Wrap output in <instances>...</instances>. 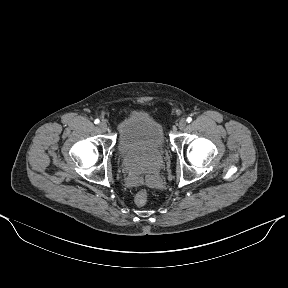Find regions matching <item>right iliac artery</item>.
Returning <instances> with one entry per match:
<instances>
[{"label":"right iliac artery","mask_w":288,"mask_h":288,"mask_svg":"<svg viewBox=\"0 0 288 288\" xmlns=\"http://www.w3.org/2000/svg\"><path fill=\"white\" fill-rule=\"evenodd\" d=\"M94 123L99 124L100 123L99 119H95Z\"/></svg>","instance_id":"82829eb1"}]
</instances>
